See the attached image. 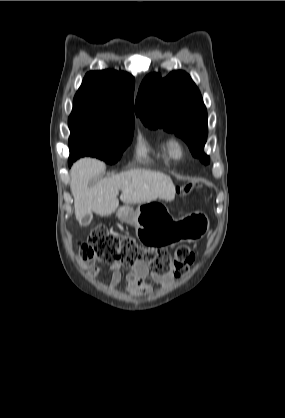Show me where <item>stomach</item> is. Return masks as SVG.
<instances>
[{
	"instance_id": "obj_1",
	"label": "stomach",
	"mask_w": 285,
	"mask_h": 418,
	"mask_svg": "<svg viewBox=\"0 0 285 418\" xmlns=\"http://www.w3.org/2000/svg\"><path fill=\"white\" fill-rule=\"evenodd\" d=\"M145 204L134 211L129 206L121 207L117 211L118 218L135 227L136 236L146 245H156L165 241V244H176L181 241L192 242L202 238L209 230V221L199 212L189 214L180 219H173L158 211H147Z\"/></svg>"
}]
</instances>
